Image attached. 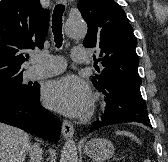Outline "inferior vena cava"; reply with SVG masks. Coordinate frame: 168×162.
I'll use <instances>...</instances> for the list:
<instances>
[{
    "label": "inferior vena cava",
    "instance_id": "1",
    "mask_svg": "<svg viewBox=\"0 0 168 162\" xmlns=\"http://www.w3.org/2000/svg\"><path fill=\"white\" fill-rule=\"evenodd\" d=\"M30 155V162H41L42 160V150L40 149L39 145L33 144L29 151Z\"/></svg>",
    "mask_w": 168,
    "mask_h": 162
}]
</instances>
